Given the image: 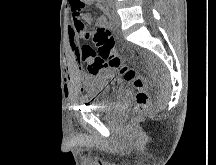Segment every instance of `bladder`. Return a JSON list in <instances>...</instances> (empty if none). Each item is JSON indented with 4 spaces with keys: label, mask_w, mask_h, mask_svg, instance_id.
<instances>
[{
    "label": "bladder",
    "mask_w": 216,
    "mask_h": 165,
    "mask_svg": "<svg viewBox=\"0 0 216 165\" xmlns=\"http://www.w3.org/2000/svg\"><path fill=\"white\" fill-rule=\"evenodd\" d=\"M86 85L91 86L89 96L92 101L87 105L92 107V111H109L116 97H124V92L119 89L120 76H114L110 71L92 76V81H87Z\"/></svg>",
    "instance_id": "bladder-1"
}]
</instances>
